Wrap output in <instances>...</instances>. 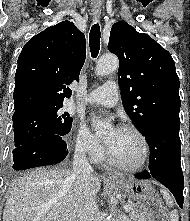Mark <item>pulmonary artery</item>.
Wrapping results in <instances>:
<instances>
[{
  "label": "pulmonary artery",
  "mask_w": 190,
  "mask_h": 221,
  "mask_svg": "<svg viewBox=\"0 0 190 221\" xmlns=\"http://www.w3.org/2000/svg\"><path fill=\"white\" fill-rule=\"evenodd\" d=\"M118 100V85L115 81L109 80L85 96L82 102L84 104H98L113 107L118 103Z\"/></svg>",
  "instance_id": "1"
}]
</instances>
